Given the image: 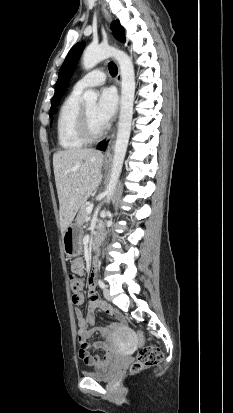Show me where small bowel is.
<instances>
[{
  "label": "small bowel",
  "mask_w": 233,
  "mask_h": 413,
  "mask_svg": "<svg viewBox=\"0 0 233 413\" xmlns=\"http://www.w3.org/2000/svg\"><path fill=\"white\" fill-rule=\"evenodd\" d=\"M72 261L73 263L70 266V271L76 276H83L85 274V266L83 263L84 257L82 255H75L72 258ZM88 296L89 302L87 304V316H85L79 308H76L75 310L78 324V342L80 344L79 357L86 365L97 369H102L105 368L119 353L120 347L117 342V333L121 329L123 317L118 310L100 299L98 293L96 292L93 278L90 281ZM72 301L74 305L80 306L84 303V295L81 292L73 294ZM97 310H101L116 318L117 322L108 326L93 328L95 313ZM96 332L105 337V341L95 342L91 345V347L94 349L103 350L105 352L103 359L98 356H93L89 352L90 346L88 345L87 340Z\"/></svg>",
  "instance_id": "c3829d8e"
}]
</instances>
